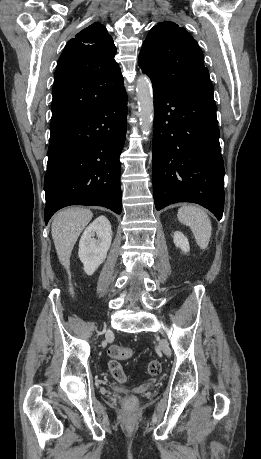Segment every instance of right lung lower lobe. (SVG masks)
<instances>
[{"label":"right lung lower lobe","mask_w":261,"mask_h":459,"mask_svg":"<svg viewBox=\"0 0 261 459\" xmlns=\"http://www.w3.org/2000/svg\"><path fill=\"white\" fill-rule=\"evenodd\" d=\"M125 88L50 135L44 180L45 223L60 208L98 205L122 211L120 154L127 129Z\"/></svg>","instance_id":"98d812e1"}]
</instances>
